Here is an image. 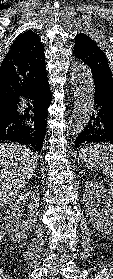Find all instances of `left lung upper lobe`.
Segmentation results:
<instances>
[{
  "label": "left lung upper lobe",
  "mask_w": 113,
  "mask_h": 279,
  "mask_svg": "<svg viewBox=\"0 0 113 279\" xmlns=\"http://www.w3.org/2000/svg\"><path fill=\"white\" fill-rule=\"evenodd\" d=\"M75 56L87 64L92 71L113 80L105 53L87 35L80 33L75 37Z\"/></svg>",
  "instance_id": "obj_1"
}]
</instances>
